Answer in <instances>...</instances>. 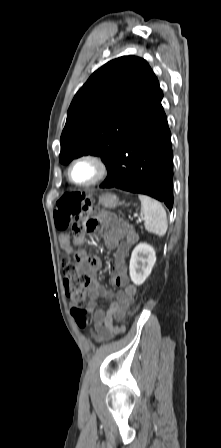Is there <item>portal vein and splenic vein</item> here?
<instances>
[{
    "mask_svg": "<svg viewBox=\"0 0 221 448\" xmlns=\"http://www.w3.org/2000/svg\"><path fill=\"white\" fill-rule=\"evenodd\" d=\"M143 219H144V218H139V219L137 220V223L142 222Z\"/></svg>",
    "mask_w": 221,
    "mask_h": 448,
    "instance_id": "1",
    "label": "portal vein and splenic vein"
}]
</instances>
